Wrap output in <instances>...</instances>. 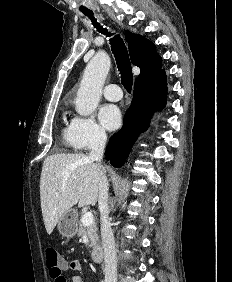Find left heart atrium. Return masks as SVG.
Listing matches in <instances>:
<instances>
[{
	"mask_svg": "<svg viewBox=\"0 0 232 282\" xmlns=\"http://www.w3.org/2000/svg\"><path fill=\"white\" fill-rule=\"evenodd\" d=\"M99 121L107 130L116 129L121 123V113L117 106L106 104L99 110Z\"/></svg>",
	"mask_w": 232,
	"mask_h": 282,
	"instance_id": "39dd6f15",
	"label": "left heart atrium"
}]
</instances>
